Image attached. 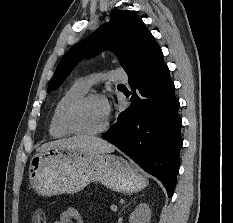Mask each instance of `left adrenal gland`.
I'll return each mask as SVG.
<instances>
[{"mask_svg": "<svg viewBox=\"0 0 233 223\" xmlns=\"http://www.w3.org/2000/svg\"><path fill=\"white\" fill-rule=\"evenodd\" d=\"M127 205H129V203H127ZM127 205H124V207H127ZM124 207H122V209H124ZM119 215H120V213H119Z\"/></svg>", "mask_w": 233, "mask_h": 223, "instance_id": "1", "label": "left adrenal gland"}]
</instances>
